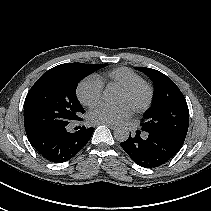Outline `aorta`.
<instances>
[{
    "label": "aorta",
    "mask_w": 211,
    "mask_h": 211,
    "mask_svg": "<svg viewBox=\"0 0 211 211\" xmlns=\"http://www.w3.org/2000/svg\"><path fill=\"white\" fill-rule=\"evenodd\" d=\"M103 100L106 103H114L117 101V96L110 90L105 89L103 93ZM114 138L119 142H124L129 138V131L127 128H117L114 131Z\"/></svg>",
    "instance_id": "1"
}]
</instances>
